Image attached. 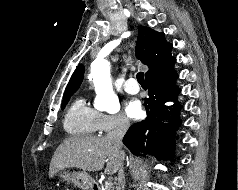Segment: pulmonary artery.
I'll return each mask as SVG.
<instances>
[{
    "instance_id": "e3ab8cb5",
    "label": "pulmonary artery",
    "mask_w": 238,
    "mask_h": 190,
    "mask_svg": "<svg viewBox=\"0 0 238 190\" xmlns=\"http://www.w3.org/2000/svg\"><path fill=\"white\" fill-rule=\"evenodd\" d=\"M123 89L125 92H127L129 94H136L139 92V86H138L137 82L135 81V79H133V78L128 79L124 83Z\"/></svg>"
}]
</instances>
